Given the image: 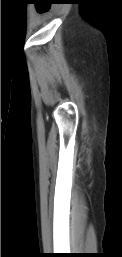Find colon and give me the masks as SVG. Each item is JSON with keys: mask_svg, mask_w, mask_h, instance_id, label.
<instances>
[{"mask_svg": "<svg viewBox=\"0 0 122 257\" xmlns=\"http://www.w3.org/2000/svg\"><path fill=\"white\" fill-rule=\"evenodd\" d=\"M36 9L37 10H50L51 6L50 5H37Z\"/></svg>", "mask_w": 122, "mask_h": 257, "instance_id": "1", "label": "colon"}]
</instances>
